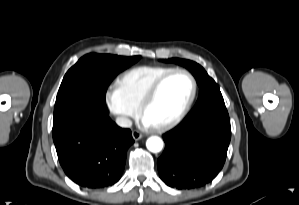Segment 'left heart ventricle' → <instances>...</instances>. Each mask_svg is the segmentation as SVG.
<instances>
[{"label": "left heart ventricle", "mask_w": 299, "mask_h": 205, "mask_svg": "<svg viewBox=\"0 0 299 205\" xmlns=\"http://www.w3.org/2000/svg\"><path fill=\"white\" fill-rule=\"evenodd\" d=\"M192 83L182 73L170 77L161 87L152 104L146 110L144 119L156 125L173 118L190 97Z\"/></svg>", "instance_id": "left-heart-ventricle-1"}]
</instances>
